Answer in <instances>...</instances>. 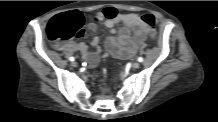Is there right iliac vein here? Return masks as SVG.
<instances>
[{"label": "right iliac vein", "mask_w": 218, "mask_h": 122, "mask_svg": "<svg viewBox=\"0 0 218 122\" xmlns=\"http://www.w3.org/2000/svg\"><path fill=\"white\" fill-rule=\"evenodd\" d=\"M71 65L74 66V67H76V66H77V62L73 61V62L71 63Z\"/></svg>", "instance_id": "63e3f726"}]
</instances>
